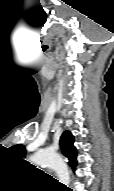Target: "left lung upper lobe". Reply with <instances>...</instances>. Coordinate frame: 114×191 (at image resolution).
Instances as JSON below:
<instances>
[{
  "label": "left lung upper lobe",
  "instance_id": "left-lung-upper-lobe-1",
  "mask_svg": "<svg viewBox=\"0 0 114 191\" xmlns=\"http://www.w3.org/2000/svg\"><path fill=\"white\" fill-rule=\"evenodd\" d=\"M73 143H74V137L69 131H65L60 138V147L64 156L68 158L69 164L72 168L75 167L77 164L76 161L77 152ZM10 149L19 158L25 157V147L23 145L18 144L12 146Z\"/></svg>",
  "mask_w": 114,
  "mask_h": 191
}]
</instances>
